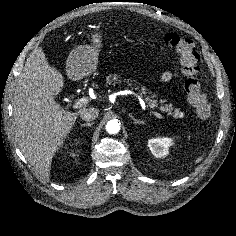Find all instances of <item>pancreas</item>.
<instances>
[{"mask_svg": "<svg viewBox=\"0 0 236 236\" xmlns=\"http://www.w3.org/2000/svg\"><path fill=\"white\" fill-rule=\"evenodd\" d=\"M105 81H106V85H115L117 83H121L122 81L128 83L129 85H132L131 83H129V80H121L117 75H113V74H110L109 76H107L105 78ZM135 90H138L139 89V86H135L134 87ZM145 91L144 89L142 88V91H141V94H144ZM146 100L149 101V105L150 106H158V101L156 100H152L150 98H147ZM160 103H162V101H160ZM162 111H165L167 113H170L175 116V117H179V118H182L184 116V113L180 110V108H175L173 109L171 105H165V106H161L160 107Z\"/></svg>", "mask_w": 236, "mask_h": 236, "instance_id": "pancreas-1", "label": "pancreas"}]
</instances>
